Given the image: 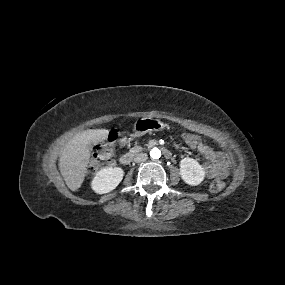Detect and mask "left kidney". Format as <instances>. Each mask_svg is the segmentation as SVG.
Masks as SVG:
<instances>
[{
    "mask_svg": "<svg viewBox=\"0 0 285 285\" xmlns=\"http://www.w3.org/2000/svg\"><path fill=\"white\" fill-rule=\"evenodd\" d=\"M180 175L185 183L196 186L204 180L205 171L196 160L184 158L180 161Z\"/></svg>",
    "mask_w": 285,
    "mask_h": 285,
    "instance_id": "left-kidney-1",
    "label": "left kidney"
}]
</instances>
